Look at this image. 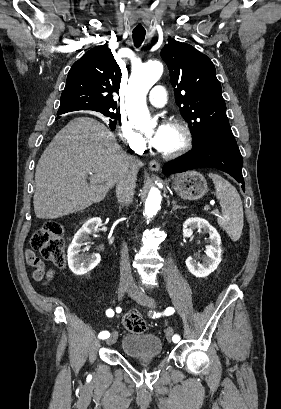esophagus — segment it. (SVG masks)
<instances>
[{
    "mask_svg": "<svg viewBox=\"0 0 281 409\" xmlns=\"http://www.w3.org/2000/svg\"><path fill=\"white\" fill-rule=\"evenodd\" d=\"M149 168L154 172H158V170L160 169V164L159 162H157V160H151V162L149 163Z\"/></svg>",
    "mask_w": 281,
    "mask_h": 409,
    "instance_id": "esophagus-1",
    "label": "esophagus"
}]
</instances>
